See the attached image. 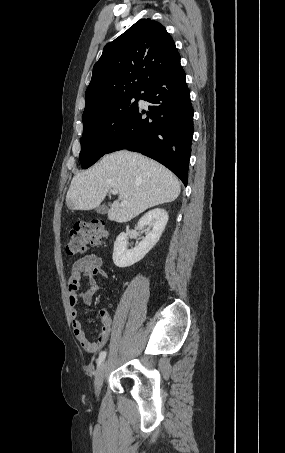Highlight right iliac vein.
I'll list each match as a JSON object with an SVG mask.
<instances>
[{
    "label": "right iliac vein",
    "mask_w": 285,
    "mask_h": 453,
    "mask_svg": "<svg viewBox=\"0 0 285 453\" xmlns=\"http://www.w3.org/2000/svg\"><path fill=\"white\" fill-rule=\"evenodd\" d=\"M105 371H106V362H103L99 366V368L96 372V376H95V395H96V397H99V393H100L101 385H102V382L104 379Z\"/></svg>",
    "instance_id": "1"
}]
</instances>
